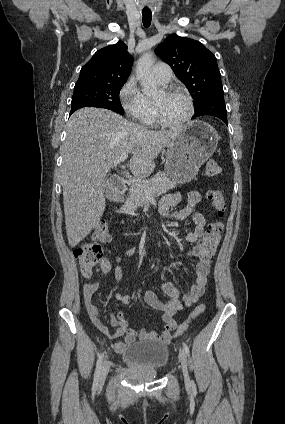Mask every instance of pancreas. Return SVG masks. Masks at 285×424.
Wrapping results in <instances>:
<instances>
[{
  "mask_svg": "<svg viewBox=\"0 0 285 424\" xmlns=\"http://www.w3.org/2000/svg\"><path fill=\"white\" fill-rule=\"evenodd\" d=\"M152 191L150 196L146 195L141 186H131L129 196L123 205V209L127 214L133 215L138 207L143 206L148 198L160 196L169 189L176 186V182L171 180L166 173H157L151 179L143 182Z\"/></svg>",
  "mask_w": 285,
  "mask_h": 424,
  "instance_id": "pancreas-1",
  "label": "pancreas"
}]
</instances>
